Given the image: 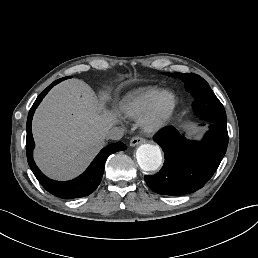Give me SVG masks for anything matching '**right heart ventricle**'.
Listing matches in <instances>:
<instances>
[{
	"mask_svg": "<svg viewBox=\"0 0 258 258\" xmlns=\"http://www.w3.org/2000/svg\"><path fill=\"white\" fill-rule=\"evenodd\" d=\"M161 89L157 86L145 87L142 90L129 94L120 102L122 111L130 118H139L152 107Z\"/></svg>",
	"mask_w": 258,
	"mask_h": 258,
	"instance_id": "1",
	"label": "right heart ventricle"
}]
</instances>
